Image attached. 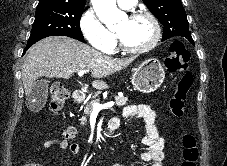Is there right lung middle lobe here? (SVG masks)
I'll return each instance as SVG.
<instances>
[{
  "instance_id": "right-lung-middle-lobe-1",
  "label": "right lung middle lobe",
  "mask_w": 227,
  "mask_h": 166,
  "mask_svg": "<svg viewBox=\"0 0 227 166\" xmlns=\"http://www.w3.org/2000/svg\"><path fill=\"white\" fill-rule=\"evenodd\" d=\"M84 8L70 6H42L36 8L35 21L28 43L48 36H68L84 41L80 18Z\"/></svg>"
}]
</instances>
